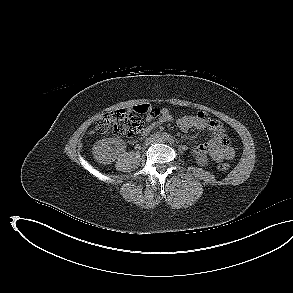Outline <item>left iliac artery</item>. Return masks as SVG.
<instances>
[{"label": "left iliac artery", "instance_id": "1", "mask_svg": "<svg viewBox=\"0 0 293 293\" xmlns=\"http://www.w3.org/2000/svg\"><path fill=\"white\" fill-rule=\"evenodd\" d=\"M168 141L170 142V144L174 143V139H173V137H172V136L169 137V138H168Z\"/></svg>", "mask_w": 293, "mask_h": 293}]
</instances>
